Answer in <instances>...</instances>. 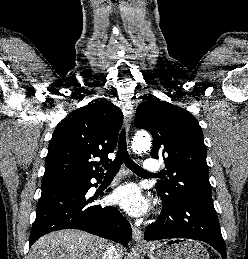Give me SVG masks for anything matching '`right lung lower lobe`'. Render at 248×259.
Here are the masks:
<instances>
[{
    "instance_id": "1",
    "label": "right lung lower lobe",
    "mask_w": 248,
    "mask_h": 259,
    "mask_svg": "<svg viewBox=\"0 0 248 259\" xmlns=\"http://www.w3.org/2000/svg\"><path fill=\"white\" fill-rule=\"evenodd\" d=\"M90 180L42 188L30 246L41 236L61 229H80L125 246L128 244L132 236L129 222L115 207L92 204L96 197L86 196L93 186Z\"/></svg>"
}]
</instances>
